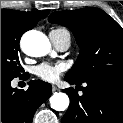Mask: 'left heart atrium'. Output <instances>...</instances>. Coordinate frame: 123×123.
<instances>
[{
  "mask_svg": "<svg viewBox=\"0 0 123 123\" xmlns=\"http://www.w3.org/2000/svg\"><path fill=\"white\" fill-rule=\"evenodd\" d=\"M65 70L66 66L63 63H42L36 67L35 73L44 81L56 82Z\"/></svg>",
  "mask_w": 123,
  "mask_h": 123,
  "instance_id": "left-heart-atrium-1",
  "label": "left heart atrium"
}]
</instances>
